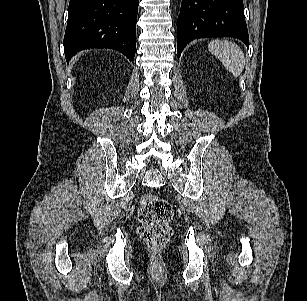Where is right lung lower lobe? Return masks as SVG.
<instances>
[{
	"label": "right lung lower lobe",
	"mask_w": 307,
	"mask_h": 301,
	"mask_svg": "<svg viewBox=\"0 0 307 301\" xmlns=\"http://www.w3.org/2000/svg\"><path fill=\"white\" fill-rule=\"evenodd\" d=\"M139 0H70L64 53L112 48L134 61Z\"/></svg>",
	"instance_id": "1"
}]
</instances>
